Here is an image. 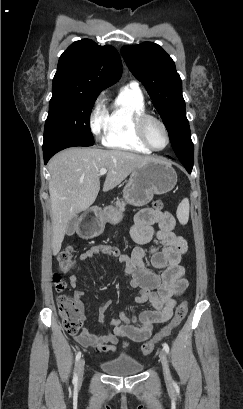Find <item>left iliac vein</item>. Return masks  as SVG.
Returning <instances> with one entry per match:
<instances>
[{
	"label": "left iliac vein",
	"instance_id": "4c4485c4",
	"mask_svg": "<svg viewBox=\"0 0 243 409\" xmlns=\"http://www.w3.org/2000/svg\"><path fill=\"white\" fill-rule=\"evenodd\" d=\"M159 358L162 364L164 377L166 380H170L171 374H170L169 364H168L166 353L163 349L159 350Z\"/></svg>",
	"mask_w": 243,
	"mask_h": 409
}]
</instances>
